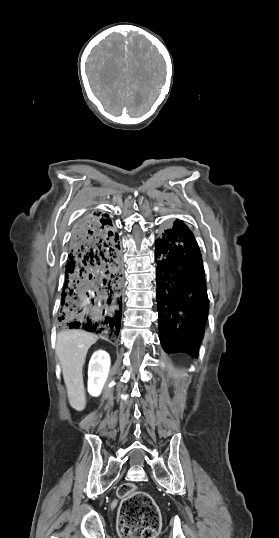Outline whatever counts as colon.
<instances>
[{
  "mask_svg": "<svg viewBox=\"0 0 279 538\" xmlns=\"http://www.w3.org/2000/svg\"><path fill=\"white\" fill-rule=\"evenodd\" d=\"M122 499L118 532L122 538H155L161 518L153 499L145 492L136 489L131 483H125L118 489Z\"/></svg>",
  "mask_w": 279,
  "mask_h": 538,
  "instance_id": "obj_1",
  "label": "colon"
}]
</instances>
